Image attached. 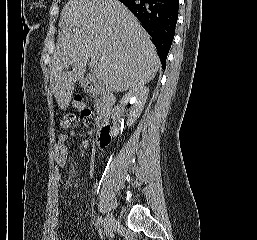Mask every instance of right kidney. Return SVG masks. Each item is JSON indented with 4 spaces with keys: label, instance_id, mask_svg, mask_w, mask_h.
I'll return each instance as SVG.
<instances>
[{
    "label": "right kidney",
    "instance_id": "right-kidney-1",
    "mask_svg": "<svg viewBox=\"0 0 257 240\" xmlns=\"http://www.w3.org/2000/svg\"><path fill=\"white\" fill-rule=\"evenodd\" d=\"M148 93V87L139 86L129 90L120 100V105L117 107V111L119 112L122 111L128 103L131 104L129 109V118L127 120L128 126H132L141 115L148 97ZM112 133L113 136L116 137L119 134V129L114 126Z\"/></svg>",
    "mask_w": 257,
    "mask_h": 240
}]
</instances>
